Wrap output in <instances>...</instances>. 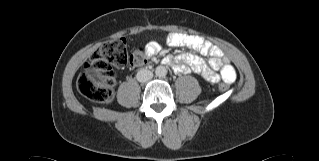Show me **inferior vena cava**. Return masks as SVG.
I'll return each mask as SVG.
<instances>
[{"instance_id": "602c4592", "label": "inferior vena cava", "mask_w": 319, "mask_h": 161, "mask_svg": "<svg viewBox=\"0 0 319 161\" xmlns=\"http://www.w3.org/2000/svg\"><path fill=\"white\" fill-rule=\"evenodd\" d=\"M153 77V73L147 69H141L138 71L136 78L139 82H147L151 80Z\"/></svg>"}]
</instances>
